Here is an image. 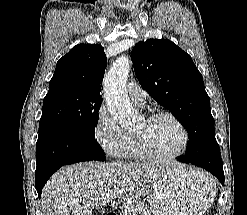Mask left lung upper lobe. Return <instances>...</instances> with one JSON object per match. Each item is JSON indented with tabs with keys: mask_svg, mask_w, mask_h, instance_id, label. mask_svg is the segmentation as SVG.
Instances as JSON below:
<instances>
[{
	"mask_svg": "<svg viewBox=\"0 0 247 215\" xmlns=\"http://www.w3.org/2000/svg\"><path fill=\"white\" fill-rule=\"evenodd\" d=\"M131 59L142 87L187 130L186 155L200 141H216L209 96L189 54L170 40L149 39L136 44Z\"/></svg>",
	"mask_w": 247,
	"mask_h": 215,
	"instance_id": "left-lung-upper-lobe-1",
	"label": "left lung upper lobe"
}]
</instances>
